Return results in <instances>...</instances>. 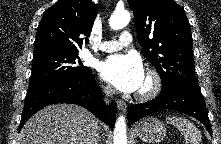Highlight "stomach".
I'll list each match as a JSON object with an SVG mask.
<instances>
[{
  "mask_svg": "<svg viewBox=\"0 0 221 144\" xmlns=\"http://www.w3.org/2000/svg\"><path fill=\"white\" fill-rule=\"evenodd\" d=\"M137 136L148 143H157L166 136V127L157 118H147L141 121L135 130Z\"/></svg>",
  "mask_w": 221,
  "mask_h": 144,
  "instance_id": "stomach-1",
  "label": "stomach"
}]
</instances>
